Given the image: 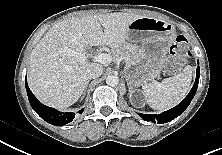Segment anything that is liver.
<instances>
[{"mask_svg": "<svg viewBox=\"0 0 222 155\" xmlns=\"http://www.w3.org/2000/svg\"><path fill=\"white\" fill-rule=\"evenodd\" d=\"M141 17L115 12L71 18L54 25L31 53L28 70L31 91L41 102L58 109L74 104L83 94L87 83L85 71L91 64L80 59L85 47L125 49L128 27Z\"/></svg>", "mask_w": 222, "mask_h": 155, "instance_id": "obj_1", "label": "liver"}]
</instances>
